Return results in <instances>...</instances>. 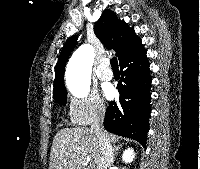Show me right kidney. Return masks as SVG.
<instances>
[{"mask_svg": "<svg viewBox=\"0 0 200 169\" xmlns=\"http://www.w3.org/2000/svg\"><path fill=\"white\" fill-rule=\"evenodd\" d=\"M135 158V153L132 148H128L123 152L122 161L125 163H131Z\"/></svg>", "mask_w": 200, "mask_h": 169, "instance_id": "ca27d5eb", "label": "right kidney"}]
</instances>
